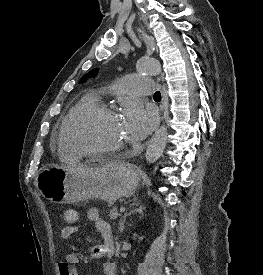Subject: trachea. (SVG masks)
Returning <instances> with one entry per match:
<instances>
[{"label":"trachea","instance_id":"trachea-1","mask_svg":"<svg viewBox=\"0 0 263 275\" xmlns=\"http://www.w3.org/2000/svg\"><path fill=\"white\" fill-rule=\"evenodd\" d=\"M154 99H161V94L159 91L155 92L154 96H153Z\"/></svg>","mask_w":263,"mask_h":275}]
</instances>
